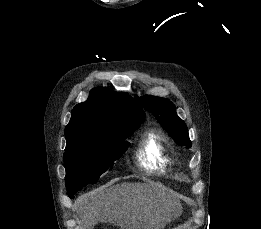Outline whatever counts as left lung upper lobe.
Masks as SVG:
<instances>
[{
	"instance_id": "obj_1",
	"label": "left lung upper lobe",
	"mask_w": 261,
	"mask_h": 229,
	"mask_svg": "<svg viewBox=\"0 0 261 229\" xmlns=\"http://www.w3.org/2000/svg\"><path fill=\"white\" fill-rule=\"evenodd\" d=\"M135 99L156 117L161 126L179 146L191 147L187 126L177 116L176 108L170 100L151 95L135 96Z\"/></svg>"
}]
</instances>
